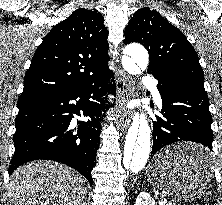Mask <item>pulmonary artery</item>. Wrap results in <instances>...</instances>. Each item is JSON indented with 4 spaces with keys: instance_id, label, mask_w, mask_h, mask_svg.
Masks as SVG:
<instances>
[{
    "instance_id": "1",
    "label": "pulmonary artery",
    "mask_w": 222,
    "mask_h": 205,
    "mask_svg": "<svg viewBox=\"0 0 222 205\" xmlns=\"http://www.w3.org/2000/svg\"><path fill=\"white\" fill-rule=\"evenodd\" d=\"M143 84L152 90L155 100L157 101V103L161 104V96H160L158 90L156 89L155 78L150 75H145L143 78Z\"/></svg>"
}]
</instances>
